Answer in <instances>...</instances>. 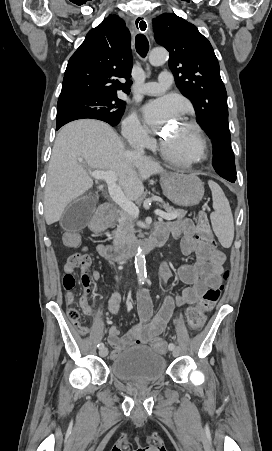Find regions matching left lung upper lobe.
I'll list each match as a JSON object with an SVG mask.
<instances>
[{
    "label": "left lung upper lobe",
    "mask_w": 272,
    "mask_h": 451,
    "mask_svg": "<svg viewBox=\"0 0 272 451\" xmlns=\"http://www.w3.org/2000/svg\"><path fill=\"white\" fill-rule=\"evenodd\" d=\"M155 39L170 53L169 67L197 122L213 140V167L223 178H237L228 126L227 93L210 42L195 25L173 13L153 20Z\"/></svg>",
    "instance_id": "5c2ea615"
}]
</instances>
